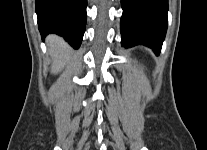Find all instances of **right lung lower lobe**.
<instances>
[{
  "label": "right lung lower lobe",
  "instance_id": "obj_1",
  "mask_svg": "<svg viewBox=\"0 0 207 150\" xmlns=\"http://www.w3.org/2000/svg\"><path fill=\"white\" fill-rule=\"evenodd\" d=\"M86 7L87 0H36L42 38L56 33L78 49L86 28Z\"/></svg>",
  "mask_w": 207,
  "mask_h": 150
}]
</instances>
